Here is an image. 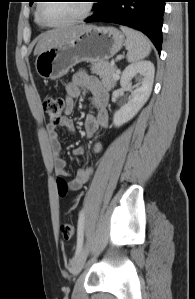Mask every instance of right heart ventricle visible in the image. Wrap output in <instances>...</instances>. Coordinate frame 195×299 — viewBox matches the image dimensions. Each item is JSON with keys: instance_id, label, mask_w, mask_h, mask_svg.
Listing matches in <instances>:
<instances>
[{"instance_id": "1", "label": "right heart ventricle", "mask_w": 195, "mask_h": 299, "mask_svg": "<svg viewBox=\"0 0 195 299\" xmlns=\"http://www.w3.org/2000/svg\"><path fill=\"white\" fill-rule=\"evenodd\" d=\"M34 21H35V23H36L40 28H43V27H44V25L39 21V19H38L36 13H35V15H34Z\"/></svg>"}]
</instances>
